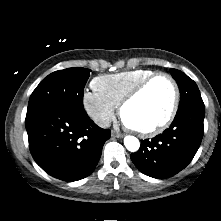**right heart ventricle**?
<instances>
[{
  "instance_id": "e07e8e85",
  "label": "right heart ventricle",
  "mask_w": 221,
  "mask_h": 221,
  "mask_svg": "<svg viewBox=\"0 0 221 221\" xmlns=\"http://www.w3.org/2000/svg\"><path fill=\"white\" fill-rule=\"evenodd\" d=\"M154 73L149 69H134L101 75L93 79L92 88L112 104L118 106L138 83Z\"/></svg>"
}]
</instances>
